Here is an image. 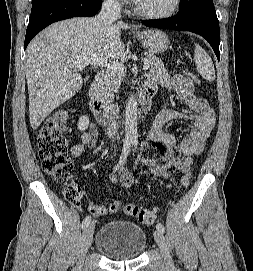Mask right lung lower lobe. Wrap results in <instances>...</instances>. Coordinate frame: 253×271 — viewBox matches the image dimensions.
<instances>
[{
  "label": "right lung lower lobe",
  "instance_id": "98d812e1",
  "mask_svg": "<svg viewBox=\"0 0 253 271\" xmlns=\"http://www.w3.org/2000/svg\"><path fill=\"white\" fill-rule=\"evenodd\" d=\"M101 5L102 0H61L32 10L24 49L38 32L51 23L76 16H94Z\"/></svg>",
  "mask_w": 253,
  "mask_h": 271
}]
</instances>
